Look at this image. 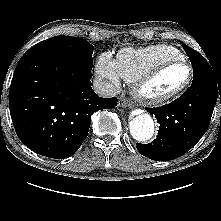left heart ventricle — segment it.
Instances as JSON below:
<instances>
[{"label":"left heart ventricle","mask_w":221,"mask_h":221,"mask_svg":"<svg viewBox=\"0 0 221 221\" xmlns=\"http://www.w3.org/2000/svg\"><path fill=\"white\" fill-rule=\"evenodd\" d=\"M189 70L184 65L173 66L161 75L148 87V92L152 95H162L169 93L181 85L187 80Z\"/></svg>","instance_id":"1"}]
</instances>
